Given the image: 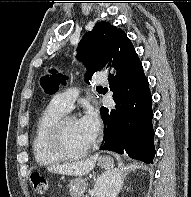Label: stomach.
Returning a JSON list of instances; mask_svg holds the SVG:
<instances>
[{"mask_svg":"<svg viewBox=\"0 0 191 197\" xmlns=\"http://www.w3.org/2000/svg\"><path fill=\"white\" fill-rule=\"evenodd\" d=\"M98 165L101 168L110 169L113 165V160L109 156L100 157L98 159ZM119 184V175H117V173L111 174L110 179L104 190V196H109L113 191L118 188ZM68 188L71 197H82L87 188V184L84 179H82L81 177H77L69 182Z\"/></svg>","mask_w":191,"mask_h":197,"instance_id":"obj_1","label":"stomach"}]
</instances>
